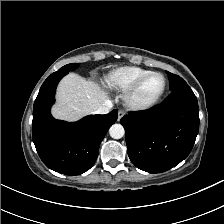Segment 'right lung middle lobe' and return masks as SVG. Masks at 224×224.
<instances>
[{"label":"right lung middle lobe","mask_w":224,"mask_h":224,"mask_svg":"<svg viewBox=\"0 0 224 224\" xmlns=\"http://www.w3.org/2000/svg\"><path fill=\"white\" fill-rule=\"evenodd\" d=\"M77 67H78V64H76V63L68 64V65H65V66H63L62 68H60V69L58 70V72H66V73H68L70 70H74V69H76Z\"/></svg>","instance_id":"right-lung-middle-lobe-1"}]
</instances>
